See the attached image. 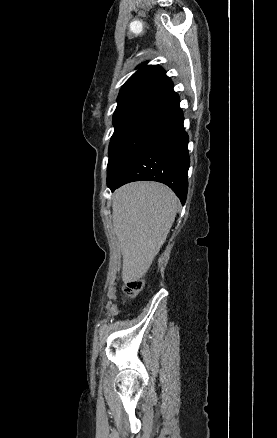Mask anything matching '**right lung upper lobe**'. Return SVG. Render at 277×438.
Instances as JSON below:
<instances>
[{
	"instance_id": "right-lung-upper-lobe-1",
	"label": "right lung upper lobe",
	"mask_w": 277,
	"mask_h": 438,
	"mask_svg": "<svg viewBox=\"0 0 277 438\" xmlns=\"http://www.w3.org/2000/svg\"><path fill=\"white\" fill-rule=\"evenodd\" d=\"M143 65L122 86L114 117L169 111L179 103L165 71L158 65Z\"/></svg>"
}]
</instances>
